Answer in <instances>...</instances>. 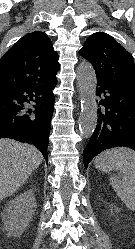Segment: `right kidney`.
Instances as JSON below:
<instances>
[{
  "mask_svg": "<svg viewBox=\"0 0 135 249\" xmlns=\"http://www.w3.org/2000/svg\"><path fill=\"white\" fill-rule=\"evenodd\" d=\"M36 203L31 191L24 192L9 202L6 209L5 229L10 236L21 235L35 213Z\"/></svg>",
  "mask_w": 135,
  "mask_h": 249,
  "instance_id": "obj_1",
  "label": "right kidney"
}]
</instances>
